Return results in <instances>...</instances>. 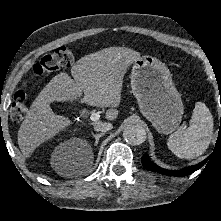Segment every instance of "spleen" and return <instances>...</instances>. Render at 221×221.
<instances>
[{
	"mask_svg": "<svg viewBox=\"0 0 221 221\" xmlns=\"http://www.w3.org/2000/svg\"><path fill=\"white\" fill-rule=\"evenodd\" d=\"M213 116L208 107L197 102L189 127L176 131L168 139V148L179 158L194 159L208 148L213 134Z\"/></svg>",
	"mask_w": 221,
	"mask_h": 221,
	"instance_id": "3e777b00",
	"label": "spleen"
}]
</instances>
